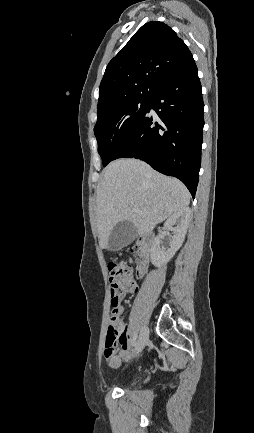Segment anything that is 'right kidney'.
Segmentation results:
<instances>
[{"instance_id": "1", "label": "right kidney", "mask_w": 254, "mask_h": 433, "mask_svg": "<svg viewBox=\"0 0 254 433\" xmlns=\"http://www.w3.org/2000/svg\"><path fill=\"white\" fill-rule=\"evenodd\" d=\"M191 212L189 208H184L172 214L164 223V233L172 231L173 236L170 242V248L167 250L162 246L163 234H159L154 239L151 247V262L156 267L166 264L182 246L185 239L187 228L190 222ZM177 225L176 227H173Z\"/></svg>"}]
</instances>
